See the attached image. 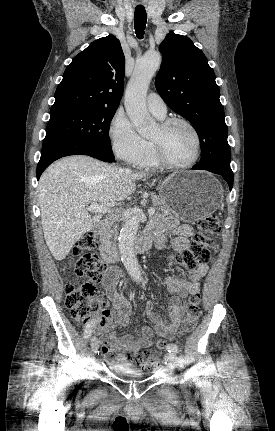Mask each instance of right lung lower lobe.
Masks as SVG:
<instances>
[{"mask_svg": "<svg viewBox=\"0 0 275 431\" xmlns=\"http://www.w3.org/2000/svg\"><path fill=\"white\" fill-rule=\"evenodd\" d=\"M68 155H89L105 162H113L115 160L112 151L88 142L70 140L45 142L42 145L41 158L37 166V180H39L42 172L53 161Z\"/></svg>", "mask_w": 275, "mask_h": 431, "instance_id": "obj_1", "label": "right lung lower lobe"}]
</instances>
